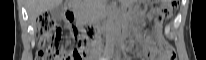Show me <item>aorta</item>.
<instances>
[{"label":"aorta","instance_id":"obj_1","mask_svg":"<svg viewBox=\"0 0 206 60\" xmlns=\"http://www.w3.org/2000/svg\"><path fill=\"white\" fill-rule=\"evenodd\" d=\"M105 36H106V45L108 48H111L113 45V37H114V17L111 11H109L107 15Z\"/></svg>","mask_w":206,"mask_h":60}]
</instances>
